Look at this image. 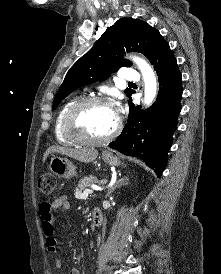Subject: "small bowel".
I'll use <instances>...</instances> for the list:
<instances>
[{
    "label": "small bowel",
    "mask_w": 221,
    "mask_h": 274,
    "mask_svg": "<svg viewBox=\"0 0 221 274\" xmlns=\"http://www.w3.org/2000/svg\"><path fill=\"white\" fill-rule=\"evenodd\" d=\"M69 201L66 196H59L49 201H43L39 208V216L41 221V228L45 237L46 248L50 253L55 254L58 249V241L55 234V217L54 211L61 209L67 211L69 209ZM62 268L60 259L55 261V269L59 272ZM68 274H81L78 268H72Z\"/></svg>",
    "instance_id": "1"
}]
</instances>
